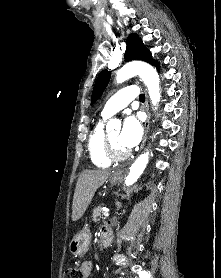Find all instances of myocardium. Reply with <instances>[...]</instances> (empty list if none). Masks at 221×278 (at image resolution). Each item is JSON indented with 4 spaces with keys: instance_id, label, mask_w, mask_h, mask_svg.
I'll return each mask as SVG.
<instances>
[{
    "instance_id": "myocardium-1",
    "label": "myocardium",
    "mask_w": 221,
    "mask_h": 278,
    "mask_svg": "<svg viewBox=\"0 0 221 278\" xmlns=\"http://www.w3.org/2000/svg\"><path fill=\"white\" fill-rule=\"evenodd\" d=\"M104 153L110 161H115V162L123 161L131 155V152L128 150L123 153H117L114 150L109 133H106L104 137Z\"/></svg>"
}]
</instances>
